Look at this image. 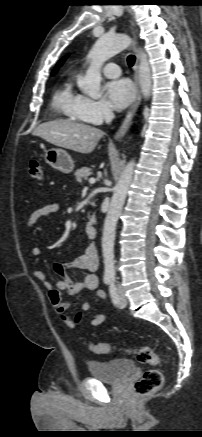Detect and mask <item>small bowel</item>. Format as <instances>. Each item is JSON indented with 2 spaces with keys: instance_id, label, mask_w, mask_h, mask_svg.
<instances>
[{
  "instance_id": "1",
  "label": "small bowel",
  "mask_w": 202,
  "mask_h": 437,
  "mask_svg": "<svg viewBox=\"0 0 202 437\" xmlns=\"http://www.w3.org/2000/svg\"><path fill=\"white\" fill-rule=\"evenodd\" d=\"M60 206L56 202L44 205L31 213L27 220V226L29 228L33 227L41 218L49 216L56 213ZM32 255L37 257L41 254V249L39 247L32 248ZM99 260L96 249L94 246H89L83 253L78 255L73 261L68 263H56L54 265V272L58 279L55 284H51L46 281V276L41 270H34L32 272L33 277L44 283L48 289V295L50 302L57 314V316L69 327H77L86 312H88L92 303L89 300H85L81 305V310L77 315L72 318L69 316L70 304L63 299V294L76 295L83 290L95 291V296L97 299L105 300L106 294L102 290H97L98 288V277L96 271L98 270ZM78 270L86 272L85 276L78 281H74L69 275L68 271ZM105 320V316L100 313H95L92 316L91 326L98 327Z\"/></svg>"
}]
</instances>
